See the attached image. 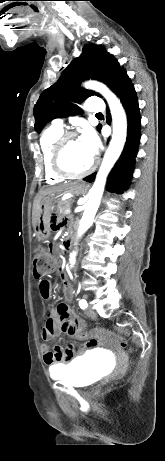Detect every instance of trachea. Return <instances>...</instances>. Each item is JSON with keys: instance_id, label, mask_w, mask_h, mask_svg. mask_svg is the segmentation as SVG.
Returning <instances> with one entry per match:
<instances>
[{"instance_id": "trachea-1", "label": "trachea", "mask_w": 165, "mask_h": 461, "mask_svg": "<svg viewBox=\"0 0 165 461\" xmlns=\"http://www.w3.org/2000/svg\"><path fill=\"white\" fill-rule=\"evenodd\" d=\"M103 114L102 113H97L96 116H102Z\"/></svg>"}]
</instances>
